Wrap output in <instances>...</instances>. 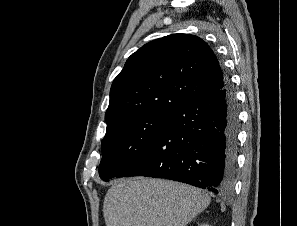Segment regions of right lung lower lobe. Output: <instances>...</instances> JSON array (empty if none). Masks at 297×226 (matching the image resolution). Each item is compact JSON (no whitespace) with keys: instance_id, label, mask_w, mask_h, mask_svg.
<instances>
[{"instance_id":"98d812e1","label":"right lung lower lobe","mask_w":297,"mask_h":226,"mask_svg":"<svg viewBox=\"0 0 297 226\" xmlns=\"http://www.w3.org/2000/svg\"><path fill=\"white\" fill-rule=\"evenodd\" d=\"M238 105L231 82L174 109L169 123L116 177L148 176L230 191L236 174Z\"/></svg>"}]
</instances>
